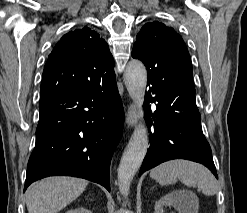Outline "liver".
Returning a JSON list of instances; mask_svg holds the SVG:
<instances>
[{
  "instance_id": "1",
  "label": "liver",
  "mask_w": 247,
  "mask_h": 213,
  "mask_svg": "<svg viewBox=\"0 0 247 213\" xmlns=\"http://www.w3.org/2000/svg\"><path fill=\"white\" fill-rule=\"evenodd\" d=\"M88 181L74 177H49L30 186L26 192L28 213H57L86 188Z\"/></svg>"
}]
</instances>
